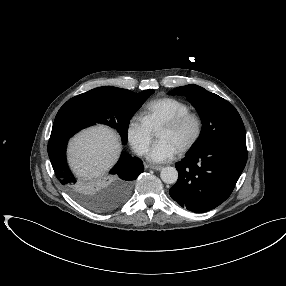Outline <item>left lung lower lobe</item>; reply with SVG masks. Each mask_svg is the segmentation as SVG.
I'll return each mask as SVG.
<instances>
[{
    "mask_svg": "<svg viewBox=\"0 0 286 286\" xmlns=\"http://www.w3.org/2000/svg\"><path fill=\"white\" fill-rule=\"evenodd\" d=\"M246 162V144L220 142L191 151L176 163L179 177L170 196L195 213L214 209L230 196Z\"/></svg>",
    "mask_w": 286,
    "mask_h": 286,
    "instance_id": "0a47b994",
    "label": "left lung lower lobe"
}]
</instances>
